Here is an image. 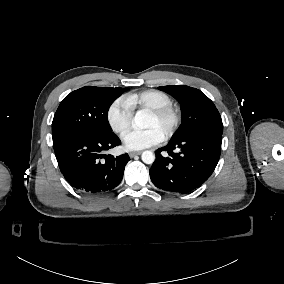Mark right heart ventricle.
I'll use <instances>...</instances> for the list:
<instances>
[{"label": "right heart ventricle", "mask_w": 284, "mask_h": 284, "mask_svg": "<svg viewBox=\"0 0 284 284\" xmlns=\"http://www.w3.org/2000/svg\"><path fill=\"white\" fill-rule=\"evenodd\" d=\"M133 107H140L147 110H152L164 106H171L173 101L171 97L164 91L158 89H146L133 94L130 97Z\"/></svg>", "instance_id": "obj_1"}]
</instances>
